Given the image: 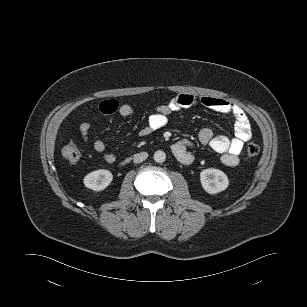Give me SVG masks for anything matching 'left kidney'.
Here are the masks:
<instances>
[{
    "label": "left kidney",
    "instance_id": "1",
    "mask_svg": "<svg viewBox=\"0 0 307 307\" xmlns=\"http://www.w3.org/2000/svg\"><path fill=\"white\" fill-rule=\"evenodd\" d=\"M200 181L203 189L210 194L224 191L229 185L227 175L223 171L215 168H208L201 171Z\"/></svg>",
    "mask_w": 307,
    "mask_h": 307
}]
</instances>
